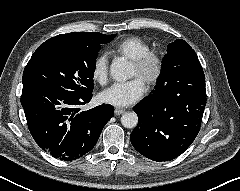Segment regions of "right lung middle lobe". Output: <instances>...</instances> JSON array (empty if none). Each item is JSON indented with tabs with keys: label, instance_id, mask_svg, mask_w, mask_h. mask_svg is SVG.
I'll return each instance as SVG.
<instances>
[{
	"label": "right lung middle lobe",
	"instance_id": "obj_1",
	"mask_svg": "<svg viewBox=\"0 0 240 191\" xmlns=\"http://www.w3.org/2000/svg\"><path fill=\"white\" fill-rule=\"evenodd\" d=\"M101 44L77 45L47 40L26 65L23 85H47L74 95L91 93Z\"/></svg>",
	"mask_w": 240,
	"mask_h": 191
}]
</instances>
